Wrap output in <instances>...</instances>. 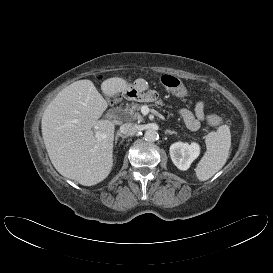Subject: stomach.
<instances>
[{"instance_id": "stomach-1", "label": "stomach", "mask_w": 273, "mask_h": 273, "mask_svg": "<svg viewBox=\"0 0 273 273\" xmlns=\"http://www.w3.org/2000/svg\"><path fill=\"white\" fill-rule=\"evenodd\" d=\"M148 86L139 87L138 84L134 85L132 88L129 86L124 91H122V95L124 98L128 100L149 102L154 101L156 99V94L154 91L148 90Z\"/></svg>"}]
</instances>
